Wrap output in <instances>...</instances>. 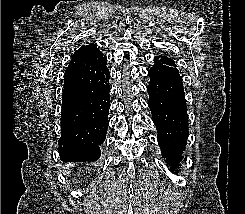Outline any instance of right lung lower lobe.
<instances>
[{
  "instance_id": "98d812e1",
  "label": "right lung lower lobe",
  "mask_w": 245,
  "mask_h": 214,
  "mask_svg": "<svg viewBox=\"0 0 245 214\" xmlns=\"http://www.w3.org/2000/svg\"><path fill=\"white\" fill-rule=\"evenodd\" d=\"M79 54L75 52L65 71L58 151L63 162L99 159L108 128L110 72L103 61L100 76L88 85L80 82Z\"/></svg>"
}]
</instances>
